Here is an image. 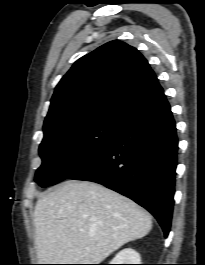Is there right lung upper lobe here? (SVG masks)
Returning <instances> with one entry per match:
<instances>
[{
	"label": "right lung upper lobe",
	"instance_id": "1",
	"mask_svg": "<svg viewBox=\"0 0 205 265\" xmlns=\"http://www.w3.org/2000/svg\"><path fill=\"white\" fill-rule=\"evenodd\" d=\"M163 94L139 51L110 41L77 60L60 80L43 131L64 132L97 122L122 124Z\"/></svg>",
	"mask_w": 205,
	"mask_h": 265
}]
</instances>
